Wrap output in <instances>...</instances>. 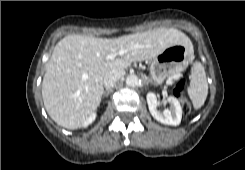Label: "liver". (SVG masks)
I'll return each mask as SVG.
<instances>
[{
  "mask_svg": "<svg viewBox=\"0 0 245 170\" xmlns=\"http://www.w3.org/2000/svg\"><path fill=\"white\" fill-rule=\"evenodd\" d=\"M174 45H185L193 52L188 36L174 28L114 39L80 34L64 37L54 47L42 81L47 113L59 126L80 128L100 105L107 73L125 72L132 62L153 58ZM121 49L128 52L113 60L106 59Z\"/></svg>",
  "mask_w": 245,
  "mask_h": 170,
  "instance_id": "liver-1",
  "label": "liver"
}]
</instances>
